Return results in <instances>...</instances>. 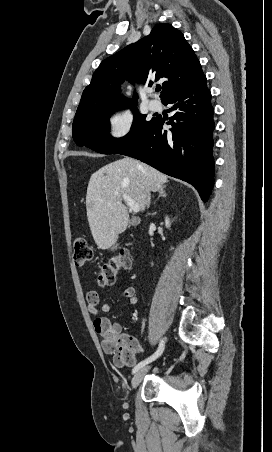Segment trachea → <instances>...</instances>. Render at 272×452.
Segmentation results:
<instances>
[{"label":"trachea","instance_id":"1","mask_svg":"<svg viewBox=\"0 0 272 452\" xmlns=\"http://www.w3.org/2000/svg\"><path fill=\"white\" fill-rule=\"evenodd\" d=\"M161 90V88H157L156 91L159 92Z\"/></svg>","mask_w":272,"mask_h":452}]
</instances>
